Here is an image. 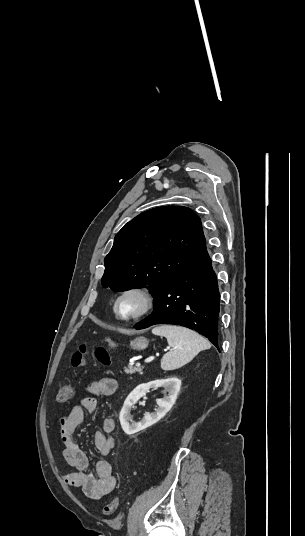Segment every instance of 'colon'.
Masks as SVG:
<instances>
[{
    "label": "colon",
    "instance_id": "5ec220e1",
    "mask_svg": "<svg viewBox=\"0 0 305 536\" xmlns=\"http://www.w3.org/2000/svg\"><path fill=\"white\" fill-rule=\"evenodd\" d=\"M89 352V345L86 342L80 343L79 347L72 353V367L75 369L81 368L85 364L86 357L88 356ZM94 356L96 360L102 365H109L111 363L110 355L104 347H96L94 350ZM72 392V387L70 385L62 386L57 392V402L60 404H67L71 400ZM118 503V498L113 497L112 501L104 507V515H112L115 512Z\"/></svg>",
    "mask_w": 305,
    "mask_h": 536
}]
</instances>
